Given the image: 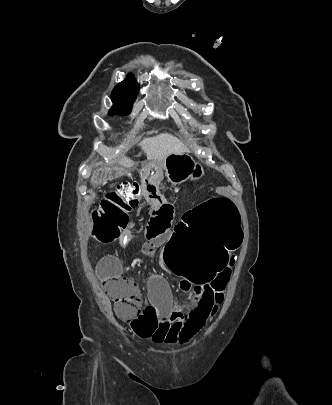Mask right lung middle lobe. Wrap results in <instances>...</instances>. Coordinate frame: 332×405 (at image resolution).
I'll return each mask as SVG.
<instances>
[{
    "label": "right lung middle lobe",
    "instance_id": "1",
    "mask_svg": "<svg viewBox=\"0 0 332 405\" xmlns=\"http://www.w3.org/2000/svg\"><path fill=\"white\" fill-rule=\"evenodd\" d=\"M138 90L118 84L112 91L113 106L108 115H128L136 99Z\"/></svg>",
    "mask_w": 332,
    "mask_h": 405
}]
</instances>
